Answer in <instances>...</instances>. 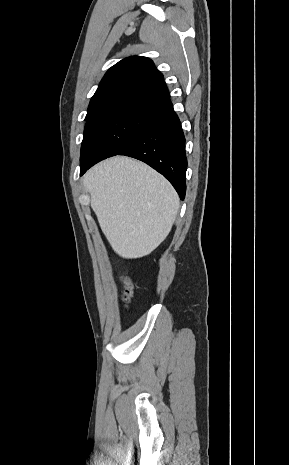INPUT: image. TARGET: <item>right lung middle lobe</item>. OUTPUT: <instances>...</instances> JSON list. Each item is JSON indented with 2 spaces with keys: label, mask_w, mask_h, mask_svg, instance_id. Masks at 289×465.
<instances>
[{
  "label": "right lung middle lobe",
  "mask_w": 289,
  "mask_h": 465,
  "mask_svg": "<svg viewBox=\"0 0 289 465\" xmlns=\"http://www.w3.org/2000/svg\"><path fill=\"white\" fill-rule=\"evenodd\" d=\"M164 106L124 102L89 117L84 130L80 162L117 155L163 112Z\"/></svg>",
  "instance_id": "right-lung-middle-lobe-1"
}]
</instances>
